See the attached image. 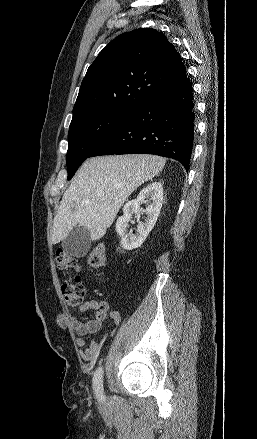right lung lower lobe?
Returning <instances> with one entry per match:
<instances>
[{
    "label": "right lung lower lobe",
    "mask_w": 257,
    "mask_h": 439,
    "mask_svg": "<svg viewBox=\"0 0 257 439\" xmlns=\"http://www.w3.org/2000/svg\"><path fill=\"white\" fill-rule=\"evenodd\" d=\"M192 85L186 76L147 99L89 157L147 153L178 160L188 171L194 139Z\"/></svg>",
    "instance_id": "98d812e1"
}]
</instances>
